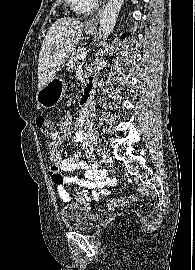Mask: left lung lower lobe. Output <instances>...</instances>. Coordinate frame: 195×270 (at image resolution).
I'll return each mask as SVG.
<instances>
[{"label": "left lung lower lobe", "mask_w": 195, "mask_h": 270, "mask_svg": "<svg viewBox=\"0 0 195 270\" xmlns=\"http://www.w3.org/2000/svg\"><path fill=\"white\" fill-rule=\"evenodd\" d=\"M126 35H127V34H124L121 38H124ZM128 35H129V33H128Z\"/></svg>", "instance_id": "obj_1"}]
</instances>
